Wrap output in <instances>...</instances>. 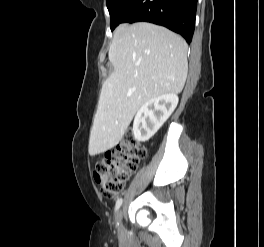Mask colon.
Segmentation results:
<instances>
[{
  "label": "colon",
  "instance_id": "5ec220e1",
  "mask_svg": "<svg viewBox=\"0 0 264 247\" xmlns=\"http://www.w3.org/2000/svg\"><path fill=\"white\" fill-rule=\"evenodd\" d=\"M146 156V149L140 145L132 133L124 135L116 149L108 152L96 163L94 178L101 185V193L106 198H114L123 190L125 182Z\"/></svg>",
  "mask_w": 264,
  "mask_h": 247
}]
</instances>
